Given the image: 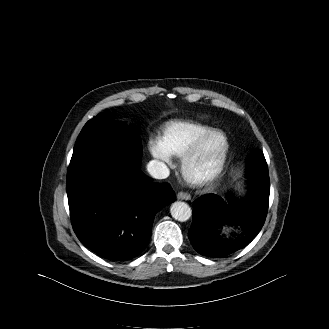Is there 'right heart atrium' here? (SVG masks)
Masks as SVG:
<instances>
[{
    "label": "right heart atrium",
    "instance_id": "right-heart-atrium-1",
    "mask_svg": "<svg viewBox=\"0 0 329 329\" xmlns=\"http://www.w3.org/2000/svg\"><path fill=\"white\" fill-rule=\"evenodd\" d=\"M149 150L152 156L160 162L168 165L171 163V155L157 141H151Z\"/></svg>",
    "mask_w": 329,
    "mask_h": 329
}]
</instances>
